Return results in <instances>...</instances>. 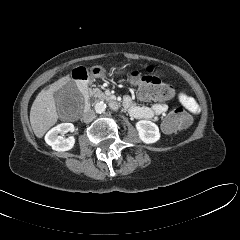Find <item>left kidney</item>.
<instances>
[{
	"mask_svg": "<svg viewBox=\"0 0 240 240\" xmlns=\"http://www.w3.org/2000/svg\"><path fill=\"white\" fill-rule=\"evenodd\" d=\"M139 138L146 144H152L160 139L158 126L149 120H140L136 123Z\"/></svg>",
	"mask_w": 240,
	"mask_h": 240,
	"instance_id": "5707ae66",
	"label": "left kidney"
}]
</instances>
